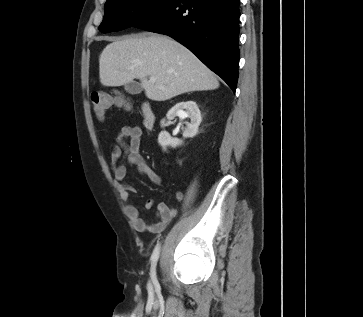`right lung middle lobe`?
<instances>
[{"mask_svg":"<svg viewBox=\"0 0 363 317\" xmlns=\"http://www.w3.org/2000/svg\"><path fill=\"white\" fill-rule=\"evenodd\" d=\"M176 0H107L102 33L123 30L152 18L171 7Z\"/></svg>","mask_w":363,"mask_h":317,"instance_id":"right-lung-middle-lobe-1","label":"right lung middle lobe"}]
</instances>
